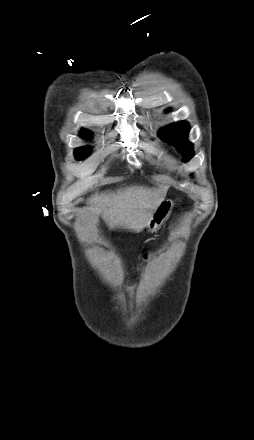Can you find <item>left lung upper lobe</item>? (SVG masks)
Masks as SVG:
<instances>
[{"mask_svg": "<svg viewBox=\"0 0 254 440\" xmlns=\"http://www.w3.org/2000/svg\"><path fill=\"white\" fill-rule=\"evenodd\" d=\"M190 130L189 124L185 121L170 124L159 131V136L174 145L181 152L182 160L189 161L193 157V144L188 142L186 137Z\"/></svg>", "mask_w": 254, "mask_h": 440, "instance_id": "left-lung-upper-lobe-1", "label": "left lung upper lobe"}]
</instances>
